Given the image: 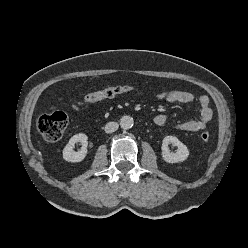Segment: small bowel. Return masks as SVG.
<instances>
[{
	"label": "small bowel",
	"instance_id": "1",
	"mask_svg": "<svg viewBox=\"0 0 248 248\" xmlns=\"http://www.w3.org/2000/svg\"><path fill=\"white\" fill-rule=\"evenodd\" d=\"M155 97L168 103L180 104H188L196 100V97L192 92L172 89L159 91L155 94ZM197 102L200 110L199 119H192L178 123L177 128L188 132H196L204 129L208 125L213 116L210 99L207 96H200L197 99ZM81 105L82 103L73 104L72 108L78 109ZM154 122L158 126H163L168 122V117L164 114H158L155 116Z\"/></svg>",
	"mask_w": 248,
	"mask_h": 248
}]
</instances>
